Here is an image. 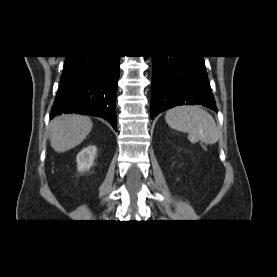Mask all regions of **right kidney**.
<instances>
[{
  "label": "right kidney",
  "mask_w": 277,
  "mask_h": 277,
  "mask_svg": "<svg viewBox=\"0 0 277 277\" xmlns=\"http://www.w3.org/2000/svg\"><path fill=\"white\" fill-rule=\"evenodd\" d=\"M96 151V146H88L78 153L76 157L78 171L84 172L90 169L93 165Z\"/></svg>",
  "instance_id": "right-kidney-1"
}]
</instances>
